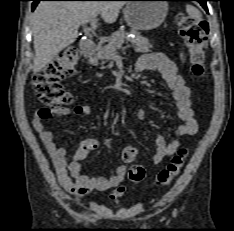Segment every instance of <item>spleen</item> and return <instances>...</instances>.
I'll use <instances>...</instances> for the list:
<instances>
[{
	"label": "spleen",
	"instance_id": "spleen-1",
	"mask_svg": "<svg viewBox=\"0 0 234 231\" xmlns=\"http://www.w3.org/2000/svg\"><path fill=\"white\" fill-rule=\"evenodd\" d=\"M186 12L188 13L189 16H191L194 19H200L201 18V13L200 11L192 6V5H186Z\"/></svg>",
	"mask_w": 234,
	"mask_h": 231
}]
</instances>
